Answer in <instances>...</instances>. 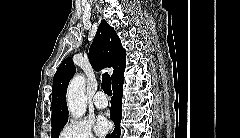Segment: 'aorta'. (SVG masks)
Masks as SVG:
<instances>
[{"instance_id": "1", "label": "aorta", "mask_w": 240, "mask_h": 138, "mask_svg": "<svg viewBox=\"0 0 240 138\" xmlns=\"http://www.w3.org/2000/svg\"><path fill=\"white\" fill-rule=\"evenodd\" d=\"M67 104L68 109L74 118H80L85 114L87 98L85 95L84 75H76L71 80L67 91Z\"/></svg>"}]
</instances>
